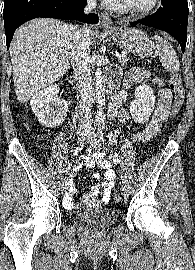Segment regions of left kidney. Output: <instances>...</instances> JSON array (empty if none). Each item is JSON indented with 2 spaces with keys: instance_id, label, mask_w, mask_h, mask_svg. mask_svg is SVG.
I'll return each instance as SVG.
<instances>
[{
  "instance_id": "left-kidney-1",
  "label": "left kidney",
  "mask_w": 195,
  "mask_h": 270,
  "mask_svg": "<svg viewBox=\"0 0 195 270\" xmlns=\"http://www.w3.org/2000/svg\"><path fill=\"white\" fill-rule=\"evenodd\" d=\"M156 97L149 85L135 88V100L130 102V114L136 123L148 121L154 110Z\"/></svg>"
}]
</instances>
